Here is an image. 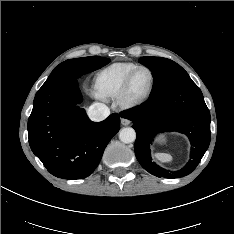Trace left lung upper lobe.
<instances>
[{"mask_svg": "<svg viewBox=\"0 0 234 234\" xmlns=\"http://www.w3.org/2000/svg\"><path fill=\"white\" fill-rule=\"evenodd\" d=\"M138 62L152 71L154 87L151 95L190 78L180 65L166 58L145 56L140 58Z\"/></svg>", "mask_w": 234, "mask_h": 234, "instance_id": "left-lung-upper-lobe-1", "label": "left lung upper lobe"}]
</instances>
